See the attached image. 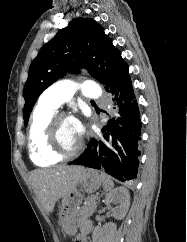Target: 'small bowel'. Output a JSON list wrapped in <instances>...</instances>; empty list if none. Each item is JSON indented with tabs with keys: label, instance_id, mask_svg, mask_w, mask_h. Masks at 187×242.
Wrapping results in <instances>:
<instances>
[{
	"label": "small bowel",
	"instance_id": "small-bowel-1",
	"mask_svg": "<svg viewBox=\"0 0 187 242\" xmlns=\"http://www.w3.org/2000/svg\"><path fill=\"white\" fill-rule=\"evenodd\" d=\"M79 228H80V234L77 238L78 242H87V235L90 233L91 229H92V224L89 220H83L80 224H79Z\"/></svg>",
	"mask_w": 187,
	"mask_h": 242
}]
</instances>
